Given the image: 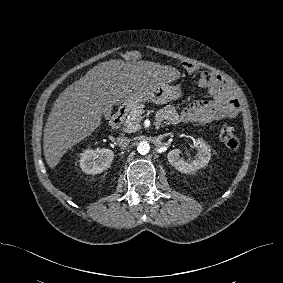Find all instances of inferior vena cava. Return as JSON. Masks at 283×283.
<instances>
[{
	"label": "inferior vena cava",
	"mask_w": 283,
	"mask_h": 283,
	"mask_svg": "<svg viewBox=\"0 0 283 283\" xmlns=\"http://www.w3.org/2000/svg\"><path fill=\"white\" fill-rule=\"evenodd\" d=\"M117 143L121 149H126L130 143V139L125 136H120L117 138Z\"/></svg>",
	"instance_id": "obj_1"
}]
</instances>
